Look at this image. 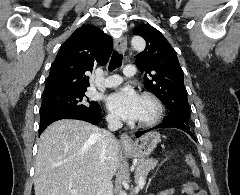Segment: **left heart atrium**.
<instances>
[{"label": "left heart atrium", "instance_id": "obj_1", "mask_svg": "<svg viewBox=\"0 0 240 195\" xmlns=\"http://www.w3.org/2000/svg\"><path fill=\"white\" fill-rule=\"evenodd\" d=\"M110 107L123 119L137 121L140 113L141 97L131 88H124L109 98Z\"/></svg>", "mask_w": 240, "mask_h": 195}]
</instances>
